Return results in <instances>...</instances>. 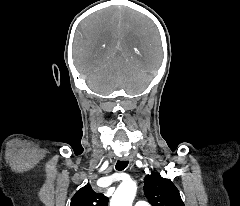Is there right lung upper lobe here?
<instances>
[{
    "label": "right lung upper lobe",
    "instance_id": "1",
    "mask_svg": "<svg viewBox=\"0 0 240 206\" xmlns=\"http://www.w3.org/2000/svg\"><path fill=\"white\" fill-rule=\"evenodd\" d=\"M108 201V197L95 192L90 185H86L72 197L70 206H108Z\"/></svg>",
    "mask_w": 240,
    "mask_h": 206
}]
</instances>
